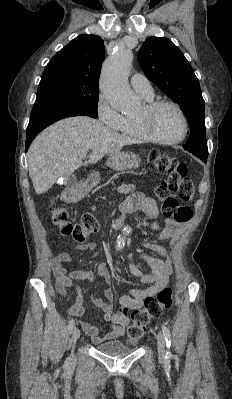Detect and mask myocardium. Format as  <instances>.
<instances>
[{
    "mask_svg": "<svg viewBox=\"0 0 232 399\" xmlns=\"http://www.w3.org/2000/svg\"><path fill=\"white\" fill-rule=\"evenodd\" d=\"M164 105H169V106L174 107L178 111L179 115L181 116V119H182L183 125H184V131H183L182 136L178 139L166 140V139L159 138L152 132V130L150 128V125H149L150 117L159 107L164 106ZM135 120L137 122V125H138L141 133L149 141H152V142L158 143V144H164V145L179 144L185 140V138L187 137L188 132H189L188 120H187V117H186L183 109L178 104H176L172 101L158 100V101L147 102L144 105V114L140 117H136Z\"/></svg>",
    "mask_w": 232,
    "mask_h": 399,
    "instance_id": "obj_1",
    "label": "myocardium"
}]
</instances>
